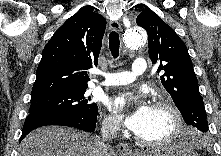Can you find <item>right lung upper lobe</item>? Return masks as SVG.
Returning <instances> with one entry per match:
<instances>
[{
	"mask_svg": "<svg viewBox=\"0 0 221 156\" xmlns=\"http://www.w3.org/2000/svg\"><path fill=\"white\" fill-rule=\"evenodd\" d=\"M105 28V18L89 10L67 19L44 47L31 100L87 89V70L98 64Z\"/></svg>",
	"mask_w": 221,
	"mask_h": 156,
	"instance_id": "obj_1",
	"label": "right lung upper lobe"
}]
</instances>
